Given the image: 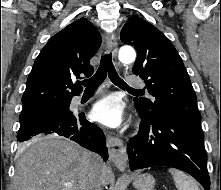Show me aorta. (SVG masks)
I'll use <instances>...</instances> for the list:
<instances>
[{
	"label": "aorta",
	"mask_w": 221,
	"mask_h": 190,
	"mask_svg": "<svg viewBox=\"0 0 221 190\" xmlns=\"http://www.w3.org/2000/svg\"><path fill=\"white\" fill-rule=\"evenodd\" d=\"M119 60L122 63H132L136 59L135 50L131 46H122L119 50Z\"/></svg>",
	"instance_id": "obj_1"
}]
</instances>
